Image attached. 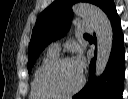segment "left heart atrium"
Returning <instances> with one entry per match:
<instances>
[{
	"label": "left heart atrium",
	"instance_id": "1",
	"mask_svg": "<svg viewBox=\"0 0 128 99\" xmlns=\"http://www.w3.org/2000/svg\"><path fill=\"white\" fill-rule=\"evenodd\" d=\"M77 65L78 69L82 72L83 69V60L81 57H78L76 61H74Z\"/></svg>",
	"mask_w": 128,
	"mask_h": 99
}]
</instances>
